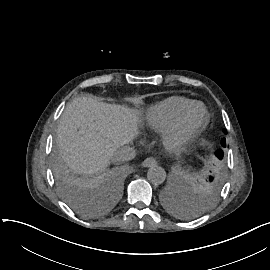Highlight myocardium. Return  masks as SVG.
I'll return each instance as SVG.
<instances>
[{
  "label": "myocardium",
  "instance_id": "1",
  "mask_svg": "<svg viewBox=\"0 0 270 270\" xmlns=\"http://www.w3.org/2000/svg\"><path fill=\"white\" fill-rule=\"evenodd\" d=\"M201 108L203 117L200 121L194 124H189V116L191 112ZM209 121V113L207 108L202 103H194L188 107L167 129L162 132V139L171 143L175 149L184 150L197 135L206 127Z\"/></svg>",
  "mask_w": 270,
  "mask_h": 270
}]
</instances>
